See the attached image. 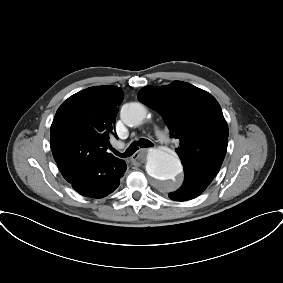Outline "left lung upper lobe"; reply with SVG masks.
Masks as SVG:
<instances>
[{
  "label": "left lung upper lobe",
  "instance_id": "left-lung-upper-lobe-1",
  "mask_svg": "<svg viewBox=\"0 0 283 283\" xmlns=\"http://www.w3.org/2000/svg\"><path fill=\"white\" fill-rule=\"evenodd\" d=\"M138 98L163 116L171 137L180 141L175 151L185 174L212 181L228 145V126L216 99L182 81L143 87Z\"/></svg>",
  "mask_w": 283,
  "mask_h": 283
}]
</instances>
